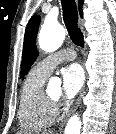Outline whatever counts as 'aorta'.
Returning a JSON list of instances; mask_svg holds the SVG:
<instances>
[{
	"mask_svg": "<svg viewBox=\"0 0 116 134\" xmlns=\"http://www.w3.org/2000/svg\"><path fill=\"white\" fill-rule=\"evenodd\" d=\"M65 39V30L57 22H45L39 33V46L43 51L53 52L57 50ZM50 84L60 85V80L53 79ZM81 120L79 116L73 115L66 127L64 134H80Z\"/></svg>",
	"mask_w": 116,
	"mask_h": 134,
	"instance_id": "aorta-1",
	"label": "aorta"
}]
</instances>
